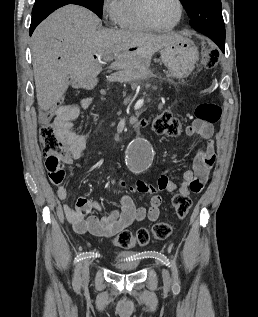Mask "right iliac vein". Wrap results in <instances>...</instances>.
<instances>
[{"mask_svg": "<svg viewBox=\"0 0 258 317\" xmlns=\"http://www.w3.org/2000/svg\"><path fill=\"white\" fill-rule=\"evenodd\" d=\"M90 259H85V262L82 264V276L88 277L89 276V267Z\"/></svg>", "mask_w": 258, "mask_h": 317, "instance_id": "1", "label": "right iliac vein"}]
</instances>
